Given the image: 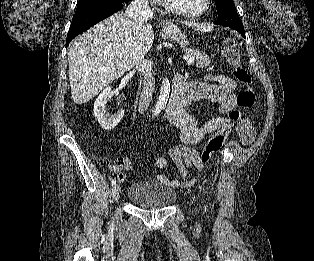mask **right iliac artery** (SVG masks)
<instances>
[{"label": "right iliac artery", "instance_id": "right-iliac-artery-1", "mask_svg": "<svg viewBox=\"0 0 314 261\" xmlns=\"http://www.w3.org/2000/svg\"><path fill=\"white\" fill-rule=\"evenodd\" d=\"M115 184H116V179L113 178V179L111 180V185L113 186V185H115Z\"/></svg>", "mask_w": 314, "mask_h": 261}]
</instances>
